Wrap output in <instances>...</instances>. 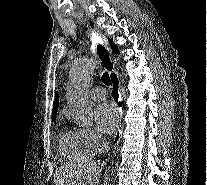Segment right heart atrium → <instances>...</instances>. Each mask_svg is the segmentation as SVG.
Wrapping results in <instances>:
<instances>
[{
    "instance_id": "1",
    "label": "right heart atrium",
    "mask_w": 207,
    "mask_h": 185,
    "mask_svg": "<svg viewBox=\"0 0 207 185\" xmlns=\"http://www.w3.org/2000/svg\"><path fill=\"white\" fill-rule=\"evenodd\" d=\"M87 142L95 149H99L106 143V138L93 127H85L79 130Z\"/></svg>"
}]
</instances>
